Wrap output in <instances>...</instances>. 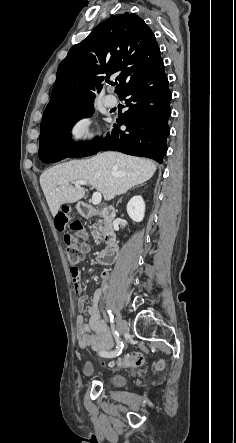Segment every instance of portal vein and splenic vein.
I'll return each mask as SVG.
<instances>
[{
    "label": "portal vein and splenic vein",
    "instance_id": "18ae733b",
    "mask_svg": "<svg viewBox=\"0 0 236 443\" xmlns=\"http://www.w3.org/2000/svg\"><path fill=\"white\" fill-rule=\"evenodd\" d=\"M74 184H75L76 188H80L81 185H87L88 183L86 181L80 180V181L74 182ZM101 200H102L101 194L98 192H94L92 195V204L98 205V204H100Z\"/></svg>",
    "mask_w": 236,
    "mask_h": 443
}]
</instances>
